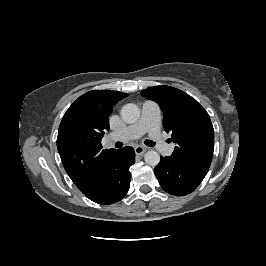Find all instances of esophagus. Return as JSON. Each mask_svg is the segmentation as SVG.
I'll list each match as a JSON object with an SVG mask.
<instances>
[{
	"mask_svg": "<svg viewBox=\"0 0 266 266\" xmlns=\"http://www.w3.org/2000/svg\"><path fill=\"white\" fill-rule=\"evenodd\" d=\"M134 150L137 155H142L146 151V148L144 146H136Z\"/></svg>",
	"mask_w": 266,
	"mask_h": 266,
	"instance_id": "obj_1",
	"label": "esophagus"
}]
</instances>
